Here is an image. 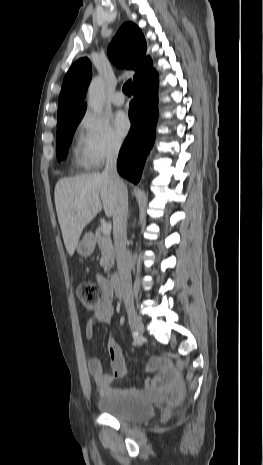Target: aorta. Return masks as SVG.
Here are the masks:
<instances>
[{
	"mask_svg": "<svg viewBox=\"0 0 263 465\" xmlns=\"http://www.w3.org/2000/svg\"><path fill=\"white\" fill-rule=\"evenodd\" d=\"M104 82L100 77L92 79L88 89V106L96 113H101L104 107Z\"/></svg>",
	"mask_w": 263,
	"mask_h": 465,
	"instance_id": "762f6f07",
	"label": "aorta"
}]
</instances>
